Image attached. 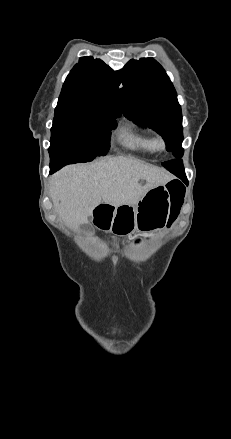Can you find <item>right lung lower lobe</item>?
<instances>
[{"label":"right lung lower lobe","instance_id":"right-lung-lower-lobe-1","mask_svg":"<svg viewBox=\"0 0 231 439\" xmlns=\"http://www.w3.org/2000/svg\"><path fill=\"white\" fill-rule=\"evenodd\" d=\"M62 166V164H50V173L55 172L56 170L60 169Z\"/></svg>","mask_w":231,"mask_h":439}]
</instances>
